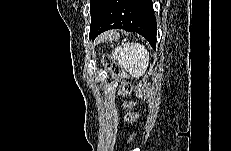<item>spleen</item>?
<instances>
[{
	"label": "spleen",
	"mask_w": 231,
	"mask_h": 151,
	"mask_svg": "<svg viewBox=\"0 0 231 151\" xmlns=\"http://www.w3.org/2000/svg\"><path fill=\"white\" fill-rule=\"evenodd\" d=\"M113 58L133 77L144 75L149 66V53L144 45L125 43L112 52Z\"/></svg>",
	"instance_id": "obj_1"
}]
</instances>
